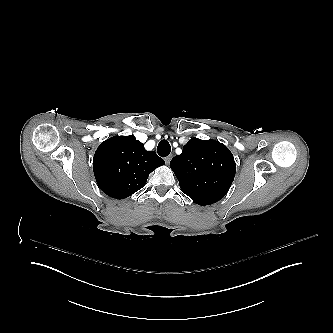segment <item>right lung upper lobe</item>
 <instances>
[{
	"instance_id": "cb5924a9",
	"label": "right lung upper lobe",
	"mask_w": 333,
	"mask_h": 333,
	"mask_svg": "<svg viewBox=\"0 0 333 333\" xmlns=\"http://www.w3.org/2000/svg\"><path fill=\"white\" fill-rule=\"evenodd\" d=\"M164 160L146 151L133 135L111 137L100 144L93 158L94 175L100 189L115 199L140 190L149 174Z\"/></svg>"
}]
</instances>
